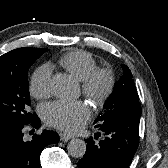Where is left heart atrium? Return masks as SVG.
<instances>
[{"label":"left heart atrium","mask_w":168,"mask_h":168,"mask_svg":"<svg viewBox=\"0 0 168 168\" xmlns=\"http://www.w3.org/2000/svg\"><path fill=\"white\" fill-rule=\"evenodd\" d=\"M90 116V108L83 101L59 100L48 104L44 110V119L49 126L69 133L80 130Z\"/></svg>","instance_id":"obj_1"}]
</instances>
